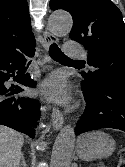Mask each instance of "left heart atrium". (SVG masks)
<instances>
[{"label": "left heart atrium", "instance_id": "39dd6f15", "mask_svg": "<svg viewBox=\"0 0 125 167\" xmlns=\"http://www.w3.org/2000/svg\"><path fill=\"white\" fill-rule=\"evenodd\" d=\"M40 92L50 100L66 104L69 100L65 81L59 75L49 76L41 85Z\"/></svg>", "mask_w": 125, "mask_h": 167}]
</instances>
